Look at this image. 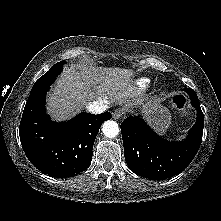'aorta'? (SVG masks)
<instances>
[{"instance_id":"aorta-1","label":"aorta","mask_w":221,"mask_h":221,"mask_svg":"<svg viewBox=\"0 0 221 221\" xmlns=\"http://www.w3.org/2000/svg\"><path fill=\"white\" fill-rule=\"evenodd\" d=\"M102 132L107 138H114L119 134L118 124L113 120L105 121L102 125Z\"/></svg>"}]
</instances>
